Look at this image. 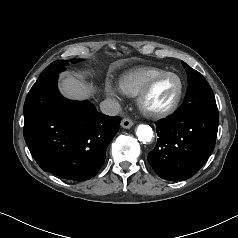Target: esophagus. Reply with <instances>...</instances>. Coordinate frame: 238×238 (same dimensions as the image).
I'll use <instances>...</instances> for the list:
<instances>
[{"instance_id":"obj_1","label":"esophagus","mask_w":238,"mask_h":238,"mask_svg":"<svg viewBox=\"0 0 238 238\" xmlns=\"http://www.w3.org/2000/svg\"><path fill=\"white\" fill-rule=\"evenodd\" d=\"M133 121L130 118H124L121 122V126L125 129H129L133 126Z\"/></svg>"}]
</instances>
